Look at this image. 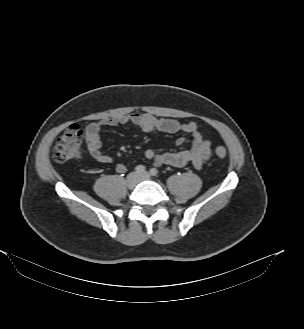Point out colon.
Returning a JSON list of instances; mask_svg holds the SVG:
<instances>
[{
    "label": "colon",
    "instance_id": "colon-1",
    "mask_svg": "<svg viewBox=\"0 0 304 329\" xmlns=\"http://www.w3.org/2000/svg\"><path fill=\"white\" fill-rule=\"evenodd\" d=\"M84 139L82 128L76 124L69 126L58 138L54 150L53 157L55 161L63 163L73 159L79 152ZM215 154L219 158L227 155V149L224 146H217Z\"/></svg>",
    "mask_w": 304,
    "mask_h": 329
}]
</instances>
